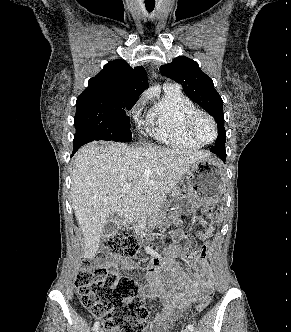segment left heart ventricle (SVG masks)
Here are the masks:
<instances>
[{
	"instance_id": "1",
	"label": "left heart ventricle",
	"mask_w": 291,
	"mask_h": 332,
	"mask_svg": "<svg viewBox=\"0 0 291 332\" xmlns=\"http://www.w3.org/2000/svg\"><path fill=\"white\" fill-rule=\"evenodd\" d=\"M196 134L204 141H210L214 137L212 124L205 117H199L195 124Z\"/></svg>"
}]
</instances>
